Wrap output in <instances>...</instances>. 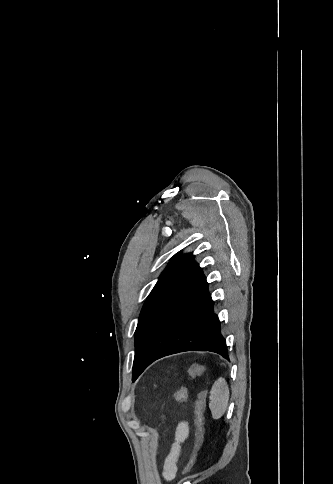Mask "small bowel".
<instances>
[{
    "label": "small bowel",
    "instance_id": "c3829d8e",
    "mask_svg": "<svg viewBox=\"0 0 333 484\" xmlns=\"http://www.w3.org/2000/svg\"><path fill=\"white\" fill-rule=\"evenodd\" d=\"M188 434L189 426L187 422H179L175 430V441L172 444L170 452L163 465L162 476L165 481H171L176 476L177 462L181 452V445L188 437Z\"/></svg>",
    "mask_w": 333,
    "mask_h": 484
}]
</instances>
